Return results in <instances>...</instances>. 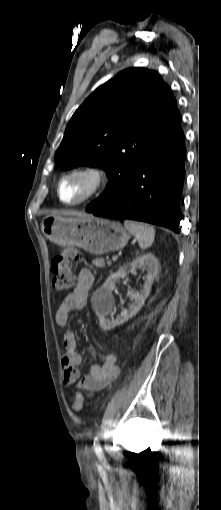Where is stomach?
Segmentation results:
<instances>
[{
    "mask_svg": "<svg viewBox=\"0 0 221 510\" xmlns=\"http://www.w3.org/2000/svg\"><path fill=\"white\" fill-rule=\"evenodd\" d=\"M41 230L53 243L60 246H76L95 255L119 250L130 238L119 222L92 215L80 217L47 215L41 221Z\"/></svg>",
    "mask_w": 221,
    "mask_h": 510,
    "instance_id": "1",
    "label": "stomach"
}]
</instances>
